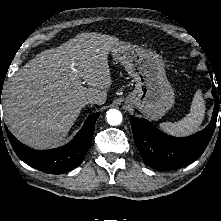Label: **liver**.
Wrapping results in <instances>:
<instances>
[{
  "label": "liver",
  "mask_w": 221,
  "mask_h": 221,
  "mask_svg": "<svg viewBox=\"0 0 221 221\" xmlns=\"http://www.w3.org/2000/svg\"><path fill=\"white\" fill-rule=\"evenodd\" d=\"M118 42L109 35L80 33L18 70L4 97V120L15 137L35 149L50 148L66 137L84 100L103 105L112 82L108 55Z\"/></svg>",
  "instance_id": "6515ba94"
}]
</instances>
